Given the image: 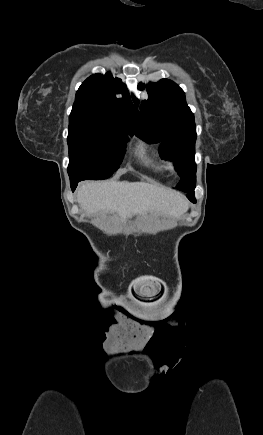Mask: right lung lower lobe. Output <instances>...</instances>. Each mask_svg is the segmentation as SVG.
Instances as JSON below:
<instances>
[{
  "label": "right lung lower lobe",
  "mask_w": 263,
  "mask_h": 435,
  "mask_svg": "<svg viewBox=\"0 0 263 435\" xmlns=\"http://www.w3.org/2000/svg\"><path fill=\"white\" fill-rule=\"evenodd\" d=\"M79 181H81V180H72V181H71V188H72V191L75 190V188L77 187V184H78Z\"/></svg>",
  "instance_id": "right-lung-lower-lobe-1"
}]
</instances>
